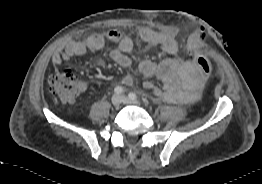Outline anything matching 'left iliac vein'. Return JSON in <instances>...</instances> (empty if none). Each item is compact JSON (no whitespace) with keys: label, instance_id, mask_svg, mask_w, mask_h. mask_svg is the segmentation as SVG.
<instances>
[{"label":"left iliac vein","instance_id":"left-iliac-vein-1","mask_svg":"<svg viewBox=\"0 0 262 184\" xmlns=\"http://www.w3.org/2000/svg\"><path fill=\"white\" fill-rule=\"evenodd\" d=\"M122 98V102L125 104H134V105H138L139 102L136 99H130L129 97L126 96H121Z\"/></svg>","mask_w":262,"mask_h":184}]
</instances>
